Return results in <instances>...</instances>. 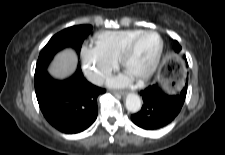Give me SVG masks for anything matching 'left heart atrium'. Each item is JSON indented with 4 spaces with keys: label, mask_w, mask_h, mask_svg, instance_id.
<instances>
[{
    "label": "left heart atrium",
    "mask_w": 225,
    "mask_h": 155,
    "mask_svg": "<svg viewBox=\"0 0 225 155\" xmlns=\"http://www.w3.org/2000/svg\"><path fill=\"white\" fill-rule=\"evenodd\" d=\"M132 79H133V76L126 72L122 75L112 78L109 81V85L110 86H124L127 83H129Z\"/></svg>",
    "instance_id": "obj_1"
}]
</instances>
